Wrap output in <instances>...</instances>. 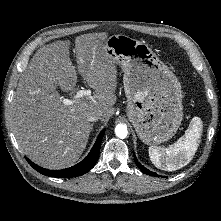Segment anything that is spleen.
Returning <instances> with one entry per match:
<instances>
[{
    "label": "spleen",
    "instance_id": "1",
    "mask_svg": "<svg viewBox=\"0 0 221 221\" xmlns=\"http://www.w3.org/2000/svg\"><path fill=\"white\" fill-rule=\"evenodd\" d=\"M203 129L202 120L194 117L184 136L168 148L160 146L149 147V157L159 169L175 171L186 166L198 149Z\"/></svg>",
    "mask_w": 221,
    "mask_h": 221
}]
</instances>
